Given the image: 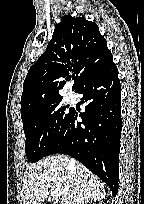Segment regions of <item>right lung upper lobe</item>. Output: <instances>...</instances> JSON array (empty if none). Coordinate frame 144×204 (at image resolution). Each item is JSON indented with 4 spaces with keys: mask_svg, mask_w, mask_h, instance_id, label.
I'll list each match as a JSON object with an SVG mask.
<instances>
[{
    "mask_svg": "<svg viewBox=\"0 0 144 204\" xmlns=\"http://www.w3.org/2000/svg\"><path fill=\"white\" fill-rule=\"evenodd\" d=\"M112 54L96 23L83 17L64 16L56 25L47 49L28 71L21 96V117L44 103L61 97L59 91L72 75L77 91L101 70Z\"/></svg>",
    "mask_w": 144,
    "mask_h": 204,
    "instance_id": "cb5924a9",
    "label": "right lung upper lobe"
}]
</instances>
